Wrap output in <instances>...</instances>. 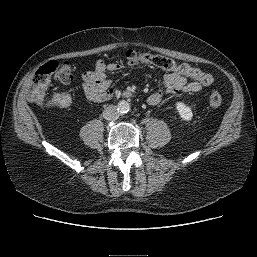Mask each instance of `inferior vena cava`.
<instances>
[{
    "label": "inferior vena cava",
    "mask_w": 257,
    "mask_h": 257,
    "mask_svg": "<svg viewBox=\"0 0 257 257\" xmlns=\"http://www.w3.org/2000/svg\"><path fill=\"white\" fill-rule=\"evenodd\" d=\"M103 117L107 120H116L119 118V111L115 105H109L103 111Z\"/></svg>",
    "instance_id": "1"
}]
</instances>
